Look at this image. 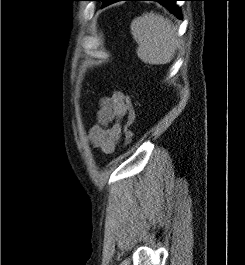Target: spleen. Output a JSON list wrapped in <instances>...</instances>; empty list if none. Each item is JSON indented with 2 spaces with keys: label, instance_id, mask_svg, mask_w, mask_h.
<instances>
[{
  "label": "spleen",
  "instance_id": "3e777b00",
  "mask_svg": "<svg viewBox=\"0 0 245 265\" xmlns=\"http://www.w3.org/2000/svg\"><path fill=\"white\" fill-rule=\"evenodd\" d=\"M131 34L138 44L137 55L151 65L172 61L179 46L177 29L164 16L153 12L144 13L131 23Z\"/></svg>",
  "mask_w": 245,
  "mask_h": 265
}]
</instances>
